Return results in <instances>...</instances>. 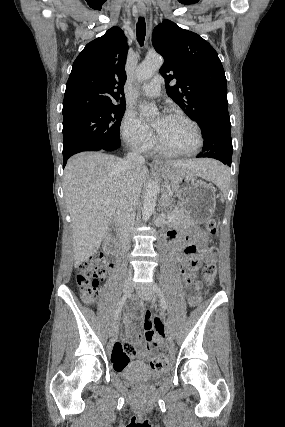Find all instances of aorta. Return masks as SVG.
I'll return each instance as SVG.
<instances>
[{"instance_id":"obj_1","label":"aorta","mask_w":285,"mask_h":427,"mask_svg":"<svg viewBox=\"0 0 285 427\" xmlns=\"http://www.w3.org/2000/svg\"><path fill=\"white\" fill-rule=\"evenodd\" d=\"M163 58L159 54H150L136 69V78L139 82L148 80L161 68ZM141 109L150 115L157 114L158 109L155 105L143 104ZM159 186L157 180H150L147 184L142 208V218L146 222L153 214L156 206Z\"/></svg>"}]
</instances>
